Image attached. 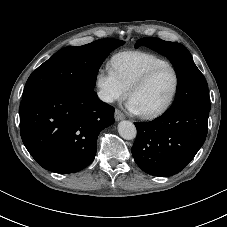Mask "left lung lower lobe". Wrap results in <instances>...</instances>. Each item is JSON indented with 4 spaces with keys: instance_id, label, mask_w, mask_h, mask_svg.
<instances>
[{
    "instance_id": "obj_1",
    "label": "left lung lower lobe",
    "mask_w": 227,
    "mask_h": 227,
    "mask_svg": "<svg viewBox=\"0 0 227 227\" xmlns=\"http://www.w3.org/2000/svg\"><path fill=\"white\" fill-rule=\"evenodd\" d=\"M208 117L207 110L182 108L165 111L151 122H135V162L153 176L168 177L180 172L203 145Z\"/></svg>"
}]
</instances>
